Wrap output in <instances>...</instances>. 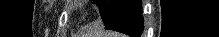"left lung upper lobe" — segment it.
Masks as SVG:
<instances>
[{
    "mask_svg": "<svg viewBox=\"0 0 219 37\" xmlns=\"http://www.w3.org/2000/svg\"><path fill=\"white\" fill-rule=\"evenodd\" d=\"M100 10V14L103 20L105 27L111 21L114 16L117 8L123 0H93Z\"/></svg>",
    "mask_w": 219,
    "mask_h": 37,
    "instance_id": "5c2ea615",
    "label": "left lung upper lobe"
}]
</instances>
